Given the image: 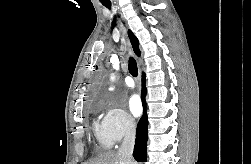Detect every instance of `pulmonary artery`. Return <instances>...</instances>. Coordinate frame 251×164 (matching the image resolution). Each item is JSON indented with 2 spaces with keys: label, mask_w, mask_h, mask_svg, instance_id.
<instances>
[{
  "label": "pulmonary artery",
  "mask_w": 251,
  "mask_h": 164,
  "mask_svg": "<svg viewBox=\"0 0 251 164\" xmlns=\"http://www.w3.org/2000/svg\"><path fill=\"white\" fill-rule=\"evenodd\" d=\"M125 84H126L128 87H130V88L134 87V85H135L134 80H133V78H132L131 76H127V77L125 78Z\"/></svg>",
  "instance_id": "pulmonary-artery-1"
}]
</instances>
